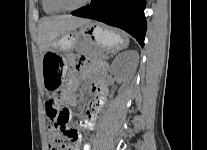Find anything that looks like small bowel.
<instances>
[{"label":"small bowel","instance_id":"c3829d8e","mask_svg":"<svg viewBox=\"0 0 207 150\" xmlns=\"http://www.w3.org/2000/svg\"><path fill=\"white\" fill-rule=\"evenodd\" d=\"M91 71L96 75H100L103 71V66L97 62H92L90 65ZM69 86L71 90H74L78 86V80L76 77H70ZM92 91L95 95L94 99L90 102L87 108L86 116L80 120L79 125L85 129H93L98 113L102 109L107 95V88L103 82L99 79H96L92 83ZM62 99L66 101L69 105L73 106L76 103L75 97L70 94H64ZM79 141V135L77 134L75 144ZM83 150H91V140H84V145L82 146ZM77 150V149H75Z\"/></svg>","mask_w":207,"mask_h":150}]
</instances>
